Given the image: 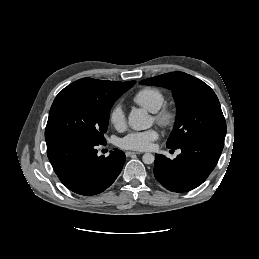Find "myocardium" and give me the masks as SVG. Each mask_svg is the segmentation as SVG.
<instances>
[{
  "label": "myocardium",
  "mask_w": 259,
  "mask_h": 259,
  "mask_svg": "<svg viewBox=\"0 0 259 259\" xmlns=\"http://www.w3.org/2000/svg\"><path fill=\"white\" fill-rule=\"evenodd\" d=\"M155 121L162 127H171L176 121V112L168 105H162L154 112Z\"/></svg>",
  "instance_id": "myocardium-1"
}]
</instances>
